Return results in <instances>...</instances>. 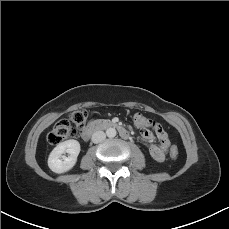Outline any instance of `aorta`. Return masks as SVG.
Segmentation results:
<instances>
[{"label": "aorta", "instance_id": "obj_1", "mask_svg": "<svg viewBox=\"0 0 229 229\" xmlns=\"http://www.w3.org/2000/svg\"><path fill=\"white\" fill-rule=\"evenodd\" d=\"M116 134H117V132H116V129H115V128H108V129L106 130V135H107L109 138L115 137Z\"/></svg>", "mask_w": 229, "mask_h": 229}]
</instances>
